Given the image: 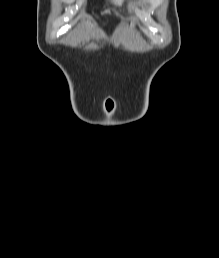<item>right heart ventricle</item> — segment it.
<instances>
[{
	"mask_svg": "<svg viewBox=\"0 0 219 258\" xmlns=\"http://www.w3.org/2000/svg\"><path fill=\"white\" fill-rule=\"evenodd\" d=\"M126 0H112V3L118 7H121L125 4Z\"/></svg>",
	"mask_w": 219,
	"mask_h": 258,
	"instance_id": "1",
	"label": "right heart ventricle"
}]
</instances>
